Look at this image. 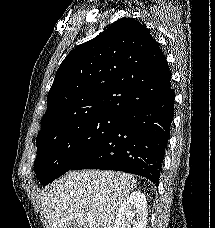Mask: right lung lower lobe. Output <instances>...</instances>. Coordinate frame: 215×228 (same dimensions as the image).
Returning <instances> with one entry per match:
<instances>
[{"mask_svg": "<svg viewBox=\"0 0 215 228\" xmlns=\"http://www.w3.org/2000/svg\"><path fill=\"white\" fill-rule=\"evenodd\" d=\"M167 90L130 109L118 124L70 170H116L140 175L158 187L174 117L171 76Z\"/></svg>", "mask_w": 215, "mask_h": 228, "instance_id": "right-lung-lower-lobe-1", "label": "right lung lower lobe"}]
</instances>
